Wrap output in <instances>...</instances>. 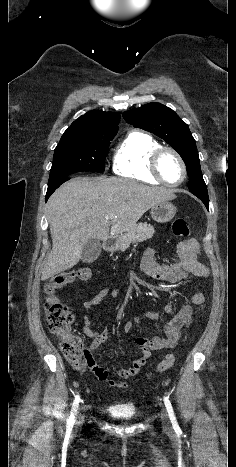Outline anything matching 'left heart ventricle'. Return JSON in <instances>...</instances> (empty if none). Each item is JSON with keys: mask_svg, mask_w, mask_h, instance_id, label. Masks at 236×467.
<instances>
[{"mask_svg": "<svg viewBox=\"0 0 236 467\" xmlns=\"http://www.w3.org/2000/svg\"><path fill=\"white\" fill-rule=\"evenodd\" d=\"M160 171L164 179L169 183L179 182L183 175L179 161L169 152H165L161 157Z\"/></svg>", "mask_w": 236, "mask_h": 467, "instance_id": "obj_1", "label": "left heart ventricle"}]
</instances>
